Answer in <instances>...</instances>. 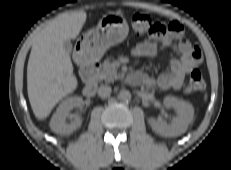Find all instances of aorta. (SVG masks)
I'll list each match as a JSON object with an SVG mask.
<instances>
[{"mask_svg": "<svg viewBox=\"0 0 231 170\" xmlns=\"http://www.w3.org/2000/svg\"><path fill=\"white\" fill-rule=\"evenodd\" d=\"M118 99L123 102L131 100V93L128 90H121L118 94Z\"/></svg>", "mask_w": 231, "mask_h": 170, "instance_id": "762f6f07", "label": "aorta"}]
</instances>
